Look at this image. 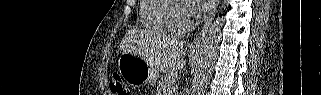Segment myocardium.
I'll list each match as a JSON object with an SVG mask.
<instances>
[{"mask_svg": "<svg viewBox=\"0 0 321 95\" xmlns=\"http://www.w3.org/2000/svg\"><path fill=\"white\" fill-rule=\"evenodd\" d=\"M184 8L186 9L187 6L183 5L182 1H174L173 4L170 6L168 11V22L170 23L171 27L174 31L179 33H187L194 29L195 21L191 18L189 20H184L180 16L179 9Z\"/></svg>", "mask_w": 321, "mask_h": 95, "instance_id": "obj_1", "label": "myocardium"}]
</instances>
